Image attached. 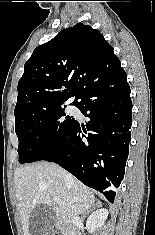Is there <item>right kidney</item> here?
I'll return each mask as SVG.
<instances>
[{
  "label": "right kidney",
  "instance_id": "1",
  "mask_svg": "<svg viewBox=\"0 0 155 235\" xmlns=\"http://www.w3.org/2000/svg\"><path fill=\"white\" fill-rule=\"evenodd\" d=\"M108 210L105 208H101L93 212L86 221V228L89 233H94L96 230L101 228L107 217H108Z\"/></svg>",
  "mask_w": 155,
  "mask_h": 235
}]
</instances>
